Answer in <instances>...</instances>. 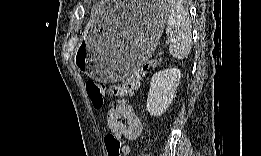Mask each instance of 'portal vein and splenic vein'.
Instances as JSON below:
<instances>
[{"label": "portal vein and splenic vein", "instance_id": "portal-vein-and-splenic-vein-1", "mask_svg": "<svg viewBox=\"0 0 261 156\" xmlns=\"http://www.w3.org/2000/svg\"><path fill=\"white\" fill-rule=\"evenodd\" d=\"M169 43H170V41H169V40H167V41H166V44H169Z\"/></svg>", "mask_w": 261, "mask_h": 156}]
</instances>
